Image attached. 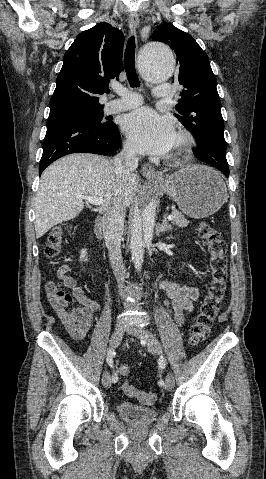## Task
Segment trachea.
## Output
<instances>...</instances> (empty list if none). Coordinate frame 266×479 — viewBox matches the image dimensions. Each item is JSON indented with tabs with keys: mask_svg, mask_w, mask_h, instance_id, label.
Segmentation results:
<instances>
[{
	"mask_svg": "<svg viewBox=\"0 0 266 479\" xmlns=\"http://www.w3.org/2000/svg\"><path fill=\"white\" fill-rule=\"evenodd\" d=\"M124 67L127 79L132 88L140 87V81L135 69V38L131 36L124 53Z\"/></svg>",
	"mask_w": 266,
	"mask_h": 479,
	"instance_id": "1",
	"label": "trachea"
}]
</instances>
